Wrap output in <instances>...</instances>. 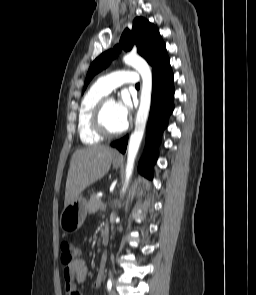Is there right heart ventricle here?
<instances>
[{
  "instance_id": "right-heart-ventricle-1",
  "label": "right heart ventricle",
  "mask_w": 256,
  "mask_h": 295,
  "mask_svg": "<svg viewBox=\"0 0 256 295\" xmlns=\"http://www.w3.org/2000/svg\"><path fill=\"white\" fill-rule=\"evenodd\" d=\"M107 95L96 84L84 95L78 113V132L81 141L86 145H94L102 141L103 137L92 128V113L97 103Z\"/></svg>"
}]
</instances>
